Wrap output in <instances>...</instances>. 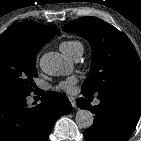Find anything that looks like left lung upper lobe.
Here are the masks:
<instances>
[{"label": "left lung upper lobe", "instance_id": "5c2ea615", "mask_svg": "<svg viewBox=\"0 0 141 141\" xmlns=\"http://www.w3.org/2000/svg\"><path fill=\"white\" fill-rule=\"evenodd\" d=\"M87 39L92 47L90 73L82 90L88 94L105 90L141 91V62L129 38L96 17H82L63 27Z\"/></svg>", "mask_w": 141, "mask_h": 141}]
</instances>
